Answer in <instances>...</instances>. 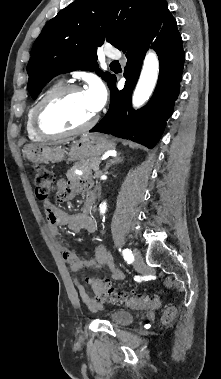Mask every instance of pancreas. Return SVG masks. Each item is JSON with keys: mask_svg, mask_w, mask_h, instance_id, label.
<instances>
[{"mask_svg": "<svg viewBox=\"0 0 221 379\" xmlns=\"http://www.w3.org/2000/svg\"><path fill=\"white\" fill-rule=\"evenodd\" d=\"M100 164L99 159H86V160H81L80 162H76L70 170L67 172V178L68 180H78L80 179V175H77L75 173V170H80L83 172L84 176H90L93 171L97 172L98 171V166Z\"/></svg>", "mask_w": 221, "mask_h": 379, "instance_id": "pancreas-1", "label": "pancreas"}]
</instances>
